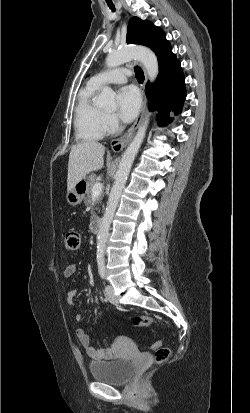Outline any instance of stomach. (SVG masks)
Here are the masks:
<instances>
[{
  "label": "stomach",
  "instance_id": "obj_1",
  "mask_svg": "<svg viewBox=\"0 0 250 413\" xmlns=\"http://www.w3.org/2000/svg\"><path fill=\"white\" fill-rule=\"evenodd\" d=\"M86 188L87 183L85 182V180L78 182L75 187L67 193V202L72 206L80 204L84 199Z\"/></svg>",
  "mask_w": 250,
  "mask_h": 413
}]
</instances>
